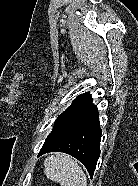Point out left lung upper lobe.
<instances>
[{
  "label": "left lung upper lobe",
  "instance_id": "left-lung-upper-lobe-1",
  "mask_svg": "<svg viewBox=\"0 0 138 186\" xmlns=\"http://www.w3.org/2000/svg\"><path fill=\"white\" fill-rule=\"evenodd\" d=\"M89 95V93H85L82 94L80 96H78L73 103L71 104V106L69 108H67L56 120H58L62 115H64L66 112H68L69 110H71L73 107H75L80 101H82L84 98H86Z\"/></svg>",
  "mask_w": 138,
  "mask_h": 186
}]
</instances>
